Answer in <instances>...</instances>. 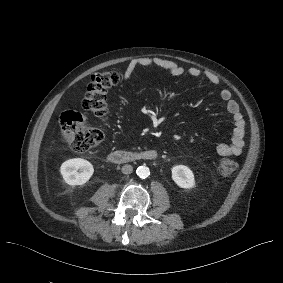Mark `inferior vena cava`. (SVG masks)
<instances>
[{
	"label": "inferior vena cava",
	"instance_id": "obj_1",
	"mask_svg": "<svg viewBox=\"0 0 283 283\" xmlns=\"http://www.w3.org/2000/svg\"><path fill=\"white\" fill-rule=\"evenodd\" d=\"M121 171L123 174H131L133 172V167L131 165L126 164L122 166Z\"/></svg>",
	"mask_w": 283,
	"mask_h": 283
}]
</instances>
